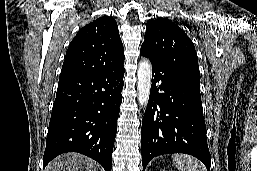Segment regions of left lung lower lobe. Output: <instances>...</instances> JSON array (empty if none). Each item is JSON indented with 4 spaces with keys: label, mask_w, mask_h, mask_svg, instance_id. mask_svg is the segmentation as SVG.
<instances>
[{
    "label": "left lung lower lobe",
    "mask_w": 257,
    "mask_h": 171,
    "mask_svg": "<svg viewBox=\"0 0 257 171\" xmlns=\"http://www.w3.org/2000/svg\"><path fill=\"white\" fill-rule=\"evenodd\" d=\"M150 61L153 79L141 130L143 171L152 158L171 153L190 154L209 170L200 78L168 59Z\"/></svg>",
    "instance_id": "left-lung-lower-lobe-1"
}]
</instances>
